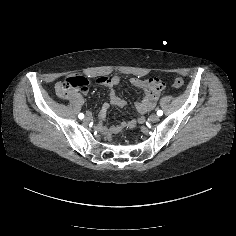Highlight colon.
<instances>
[{
	"instance_id": "colon-1",
	"label": "colon",
	"mask_w": 236,
	"mask_h": 236,
	"mask_svg": "<svg viewBox=\"0 0 236 236\" xmlns=\"http://www.w3.org/2000/svg\"><path fill=\"white\" fill-rule=\"evenodd\" d=\"M87 85L88 80L86 78L82 76H72L57 82L55 88L60 97L66 98L79 90L85 89ZM172 85L175 88H181L184 85V81L181 77L177 76L173 79ZM109 138H111V136H109Z\"/></svg>"
}]
</instances>
